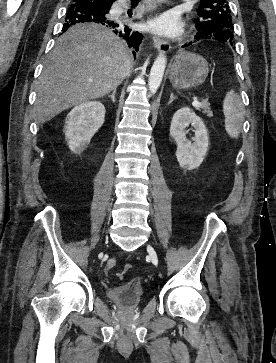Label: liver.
Listing matches in <instances>:
<instances>
[{
  "instance_id": "obj_1",
  "label": "liver",
  "mask_w": 276,
  "mask_h": 363,
  "mask_svg": "<svg viewBox=\"0 0 276 363\" xmlns=\"http://www.w3.org/2000/svg\"><path fill=\"white\" fill-rule=\"evenodd\" d=\"M131 71L127 44L102 25L69 28L58 38L38 80L40 124L62 111L115 90Z\"/></svg>"
}]
</instances>
